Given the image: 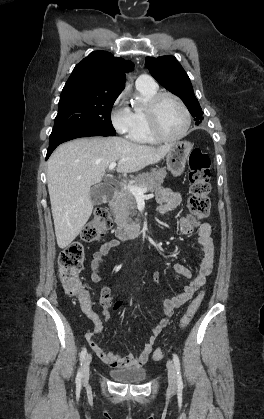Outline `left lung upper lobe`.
Masks as SVG:
<instances>
[{
    "instance_id": "5c2ea615",
    "label": "left lung upper lobe",
    "mask_w": 264,
    "mask_h": 419,
    "mask_svg": "<svg viewBox=\"0 0 264 419\" xmlns=\"http://www.w3.org/2000/svg\"><path fill=\"white\" fill-rule=\"evenodd\" d=\"M145 66L163 87L182 99L196 121L202 118L190 79L174 56L146 57Z\"/></svg>"
}]
</instances>
